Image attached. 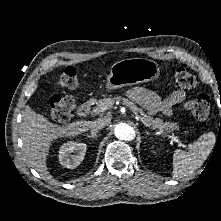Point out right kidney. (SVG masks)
<instances>
[{
  "label": "right kidney",
  "mask_w": 221,
  "mask_h": 221,
  "mask_svg": "<svg viewBox=\"0 0 221 221\" xmlns=\"http://www.w3.org/2000/svg\"><path fill=\"white\" fill-rule=\"evenodd\" d=\"M87 146L84 143L69 141L64 143L59 150V162L61 165L73 169L83 161Z\"/></svg>",
  "instance_id": "obj_1"
}]
</instances>
